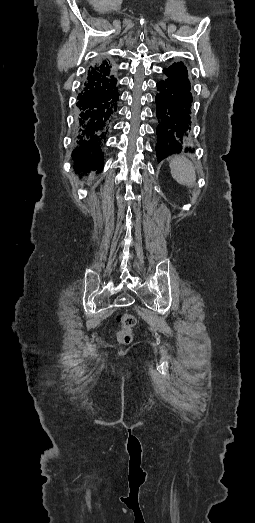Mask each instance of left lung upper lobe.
<instances>
[{
    "mask_svg": "<svg viewBox=\"0 0 255 523\" xmlns=\"http://www.w3.org/2000/svg\"><path fill=\"white\" fill-rule=\"evenodd\" d=\"M163 72L166 76H173L175 78V81H174L175 85H185V86H187V88L191 89L190 81L188 78V71H187L186 66L183 64V62L173 63L168 68L163 69ZM156 97H158V95ZM155 100H156V98H155ZM190 114H191V109H190ZM157 116H158V108H157ZM157 137H159V135H157ZM188 143H189V140H188ZM185 151H189V150H185ZM169 155H171V154H169Z\"/></svg>",
    "mask_w": 255,
    "mask_h": 523,
    "instance_id": "obj_1",
    "label": "left lung upper lobe"
}]
</instances>
